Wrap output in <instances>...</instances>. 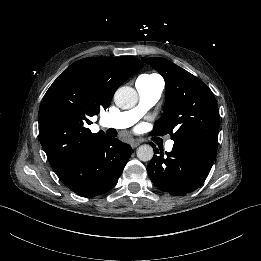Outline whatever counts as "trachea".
Instances as JSON below:
<instances>
[{"label":"trachea","instance_id":"3493384b","mask_svg":"<svg viewBox=\"0 0 261 261\" xmlns=\"http://www.w3.org/2000/svg\"><path fill=\"white\" fill-rule=\"evenodd\" d=\"M106 133H107V135L110 136V137H115V136L117 135L116 130H115V129H112V128H111V129H108Z\"/></svg>","mask_w":261,"mask_h":261}]
</instances>
